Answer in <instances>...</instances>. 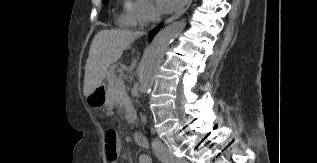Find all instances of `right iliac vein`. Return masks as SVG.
<instances>
[{
    "instance_id": "63e3f726",
    "label": "right iliac vein",
    "mask_w": 317,
    "mask_h": 163,
    "mask_svg": "<svg viewBox=\"0 0 317 163\" xmlns=\"http://www.w3.org/2000/svg\"><path fill=\"white\" fill-rule=\"evenodd\" d=\"M169 163H177L176 161H170Z\"/></svg>"
}]
</instances>
